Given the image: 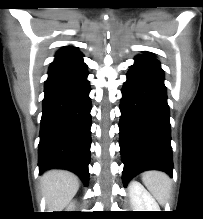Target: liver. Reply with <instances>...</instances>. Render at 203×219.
<instances>
[{
    "instance_id": "liver-1",
    "label": "liver",
    "mask_w": 203,
    "mask_h": 219,
    "mask_svg": "<svg viewBox=\"0 0 203 219\" xmlns=\"http://www.w3.org/2000/svg\"><path fill=\"white\" fill-rule=\"evenodd\" d=\"M79 178L67 170H49L41 177L42 194L49 212H60L79 189Z\"/></svg>"
}]
</instances>
